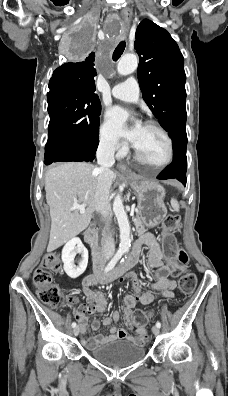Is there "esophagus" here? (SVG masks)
Segmentation results:
<instances>
[{
    "instance_id": "esophagus-1",
    "label": "esophagus",
    "mask_w": 228,
    "mask_h": 396,
    "mask_svg": "<svg viewBox=\"0 0 228 396\" xmlns=\"http://www.w3.org/2000/svg\"><path fill=\"white\" fill-rule=\"evenodd\" d=\"M121 14H122V17H123V19H124V21L126 23L124 28L122 29V33L125 35L127 33V24H128V22L130 21V19L132 17V11L129 8H125V9L122 10ZM117 168L119 170H121L122 172H125L127 174H132L131 170L125 164L118 163L117 164Z\"/></svg>"
}]
</instances>
